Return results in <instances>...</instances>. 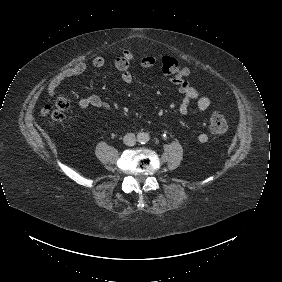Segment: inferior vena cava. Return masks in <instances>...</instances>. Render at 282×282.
Segmentation results:
<instances>
[{"instance_id": "602c4592", "label": "inferior vena cava", "mask_w": 282, "mask_h": 282, "mask_svg": "<svg viewBox=\"0 0 282 282\" xmlns=\"http://www.w3.org/2000/svg\"><path fill=\"white\" fill-rule=\"evenodd\" d=\"M123 142L127 146H134L136 144V136L134 133H127L123 137Z\"/></svg>"}]
</instances>
